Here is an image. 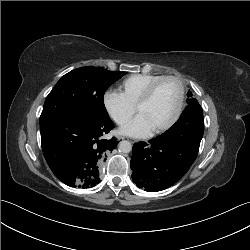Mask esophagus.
<instances>
[{
	"label": "esophagus",
	"mask_w": 250,
	"mask_h": 250,
	"mask_svg": "<svg viewBox=\"0 0 250 250\" xmlns=\"http://www.w3.org/2000/svg\"><path fill=\"white\" fill-rule=\"evenodd\" d=\"M119 139H122V138H119ZM130 142L131 143H136L137 141L135 139H130Z\"/></svg>",
	"instance_id": "34e87169"
}]
</instances>
